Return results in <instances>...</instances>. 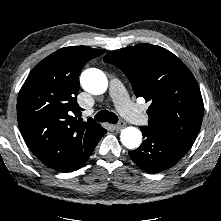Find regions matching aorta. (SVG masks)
Instances as JSON below:
<instances>
[{
	"instance_id": "1",
	"label": "aorta",
	"mask_w": 221,
	"mask_h": 221,
	"mask_svg": "<svg viewBox=\"0 0 221 221\" xmlns=\"http://www.w3.org/2000/svg\"><path fill=\"white\" fill-rule=\"evenodd\" d=\"M82 88L93 95L103 94L108 87L106 75L99 69L89 68L82 72L80 77ZM121 143L128 149L139 147L142 141V133L136 127H127L120 135Z\"/></svg>"
}]
</instances>
